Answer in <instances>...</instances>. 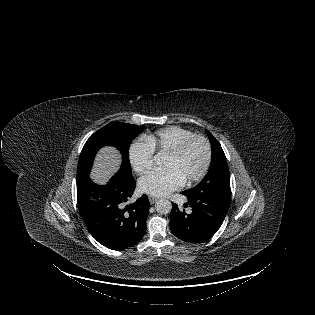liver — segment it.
<instances>
[{
    "label": "liver",
    "instance_id": "6515ba94",
    "mask_svg": "<svg viewBox=\"0 0 315 315\" xmlns=\"http://www.w3.org/2000/svg\"><path fill=\"white\" fill-rule=\"evenodd\" d=\"M119 165L120 156L117 150L111 147L104 148L96 158L91 177L95 182L103 184L118 170Z\"/></svg>",
    "mask_w": 315,
    "mask_h": 315
}]
</instances>
